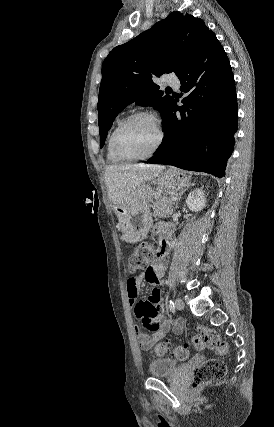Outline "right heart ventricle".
Here are the masks:
<instances>
[{"instance_id": "1", "label": "right heart ventricle", "mask_w": 274, "mask_h": 427, "mask_svg": "<svg viewBox=\"0 0 274 427\" xmlns=\"http://www.w3.org/2000/svg\"><path fill=\"white\" fill-rule=\"evenodd\" d=\"M114 130H112V132L110 133L108 140H107V145H106V157H107V161L110 164H123L124 161L121 160L120 158H118L115 153L112 150L111 147V135L113 133Z\"/></svg>"}]
</instances>
